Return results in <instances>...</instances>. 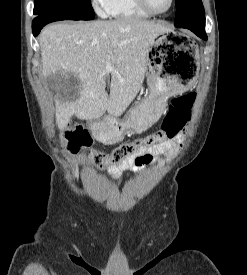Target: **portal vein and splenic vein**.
<instances>
[{
    "label": "portal vein and splenic vein",
    "instance_id": "18ae733b",
    "mask_svg": "<svg viewBox=\"0 0 247 275\" xmlns=\"http://www.w3.org/2000/svg\"><path fill=\"white\" fill-rule=\"evenodd\" d=\"M106 69H107V71H112L113 70L110 65H107Z\"/></svg>",
    "mask_w": 247,
    "mask_h": 275
}]
</instances>
